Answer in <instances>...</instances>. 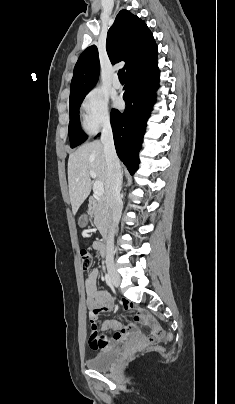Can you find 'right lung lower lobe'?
Wrapping results in <instances>:
<instances>
[{
    "instance_id": "1",
    "label": "right lung lower lobe",
    "mask_w": 235,
    "mask_h": 404,
    "mask_svg": "<svg viewBox=\"0 0 235 404\" xmlns=\"http://www.w3.org/2000/svg\"><path fill=\"white\" fill-rule=\"evenodd\" d=\"M126 76L128 82L123 94L126 109L124 112L112 110L111 126L117 155L129 172L134 174L139 164L138 153L143 142L147 119L158 88L157 58L132 70Z\"/></svg>"
}]
</instances>
